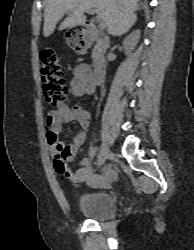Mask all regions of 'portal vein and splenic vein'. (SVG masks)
I'll list each match as a JSON object with an SVG mask.
<instances>
[{"instance_id":"portal-vein-and-splenic-vein-1","label":"portal vein and splenic vein","mask_w":194,"mask_h":250,"mask_svg":"<svg viewBox=\"0 0 194 250\" xmlns=\"http://www.w3.org/2000/svg\"><path fill=\"white\" fill-rule=\"evenodd\" d=\"M86 12H87L88 14L94 15V14L96 13V10H94V9H89V10H87ZM96 19H97V21L99 22V26H100L101 28H104V27H105V23H104L103 19H102L101 17H99V16H97Z\"/></svg>"}]
</instances>
